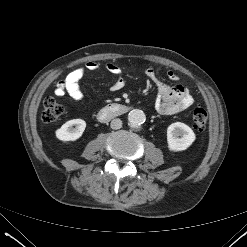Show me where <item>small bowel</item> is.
Segmentation results:
<instances>
[{"label":"small bowel","mask_w":247,"mask_h":247,"mask_svg":"<svg viewBox=\"0 0 247 247\" xmlns=\"http://www.w3.org/2000/svg\"><path fill=\"white\" fill-rule=\"evenodd\" d=\"M99 68V64L96 62H88L83 66H80L71 71L64 80L60 81L55 89V95L63 97L68 94L74 101H81L83 99V93L80 89V80L91 71H95ZM107 70L116 76L115 81L111 85L113 92L120 91L125 86V80L122 77L121 69L114 63H108L106 65ZM145 75L155 84L157 90V96L155 100V109L162 115H173L186 110L193 103V97L190 90L182 85H169L165 83L158 76L155 69L149 67L145 70ZM168 78L176 82L178 80L177 75L173 71H168Z\"/></svg>","instance_id":"c3829d8e"}]
</instances>
